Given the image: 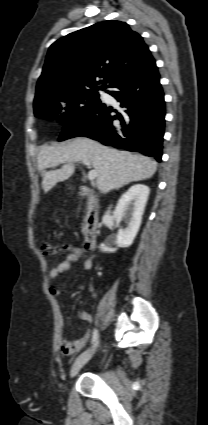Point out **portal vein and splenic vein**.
<instances>
[{
    "label": "portal vein and splenic vein",
    "instance_id": "18ae733b",
    "mask_svg": "<svg viewBox=\"0 0 208 425\" xmlns=\"http://www.w3.org/2000/svg\"><path fill=\"white\" fill-rule=\"evenodd\" d=\"M84 165H86L87 167H90V163H88V162H82ZM97 177V172H96V170L95 169H91L89 172H88V179L90 180V181H93L95 178Z\"/></svg>",
    "mask_w": 208,
    "mask_h": 425
}]
</instances>
